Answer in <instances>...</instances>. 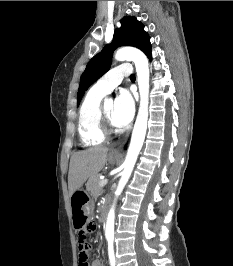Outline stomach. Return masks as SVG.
<instances>
[{
  "instance_id": "0dacf381",
  "label": "stomach",
  "mask_w": 233,
  "mask_h": 266,
  "mask_svg": "<svg viewBox=\"0 0 233 266\" xmlns=\"http://www.w3.org/2000/svg\"><path fill=\"white\" fill-rule=\"evenodd\" d=\"M120 156L109 154L108 160L111 163L119 161ZM89 191L88 188H77V191H74L71 194V214H72V228L75 232H86L87 228L85 225H90V216L87 212L89 204Z\"/></svg>"
}]
</instances>
